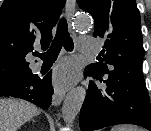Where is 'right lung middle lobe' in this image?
<instances>
[{
    "instance_id": "1",
    "label": "right lung middle lobe",
    "mask_w": 151,
    "mask_h": 131,
    "mask_svg": "<svg viewBox=\"0 0 151 131\" xmlns=\"http://www.w3.org/2000/svg\"><path fill=\"white\" fill-rule=\"evenodd\" d=\"M23 78H24V77H19V78L13 80V81L8 82L7 84H1V83H0V89H4V88H6L7 86H9V85H11V84H14L15 82H17V81H19V80H21V79H23Z\"/></svg>"
}]
</instances>
